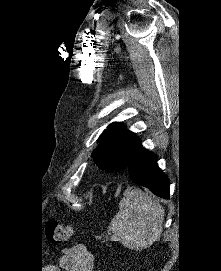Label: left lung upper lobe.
<instances>
[{"instance_id": "1", "label": "left lung upper lobe", "mask_w": 221, "mask_h": 271, "mask_svg": "<svg viewBox=\"0 0 221 271\" xmlns=\"http://www.w3.org/2000/svg\"><path fill=\"white\" fill-rule=\"evenodd\" d=\"M99 136L92 153L96 165L107 172L127 169L133 154L141 146L139 138L121 123H112Z\"/></svg>"}]
</instances>
